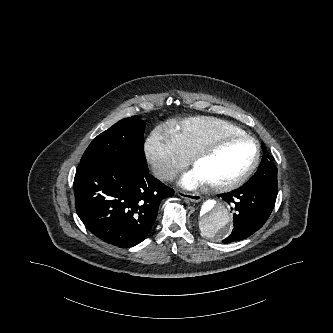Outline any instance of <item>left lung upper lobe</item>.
I'll return each instance as SVG.
<instances>
[{
	"label": "left lung upper lobe",
	"mask_w": 333,
	"mask_h": 333,
	"mask_svg": "<svg viewBox=\"0 0 333 333\" xmlns=\"http://www.w3.org/2000/svg\"><path fill=\"white\" fill-rule=\"evenodd\" d=\"M246 185H265L278 187L277 185V167L272 163L268 153L264 152L262 162L257 172L252 176Z\"/></svg>",
	"instance_id": "obj_1"
}]
</instances>
